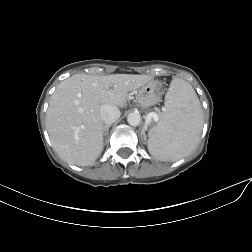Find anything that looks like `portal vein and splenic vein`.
Returning <instances> with one entry per match:
<instances>
[{
  "label": "portal vein and splenic vein",
  "instance_id": "portal-vein-and-splenic-vein-1",
  "mask_svg": "<svg viewBox=\"0 0 252 252\" xmlns=\"http://www.w3.org/2000/svg\"><path fill=\"white\" fill-rule=\"evenodd\" d=\"M159 117L158 115L155 113V112H150L148 115H147V122L150 123L152 120L154 121H158Z\"/></svg>",
  "mask_w": 252,
  "mask_h": 252
}]
</instances>
